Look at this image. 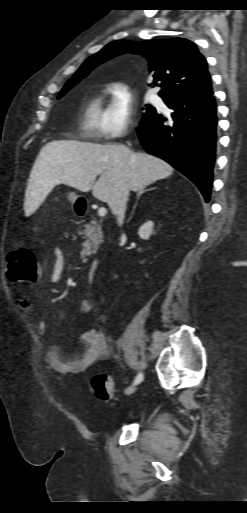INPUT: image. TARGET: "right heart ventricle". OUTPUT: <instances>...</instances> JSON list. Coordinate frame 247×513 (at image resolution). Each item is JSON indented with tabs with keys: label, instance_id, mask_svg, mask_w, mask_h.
Here are the masks:
<instances>
[{
	"label": "right heart ventricle",
	"instance_id": "obj_1",
	"mask_svg": "<svg viewBox=\"0 0 247 513\" xmlns=\"http://www.w3.org/2000/svg\"><path fill=\"white\" fill-rule=\"evenodd\" d=\"M104 111L100 93H96L86 100L80 115V130L84 136L96 137L99 135Z\"/></svg>",
	"mask_w": 247,
	"mask_h": 513
}]
</instances>
